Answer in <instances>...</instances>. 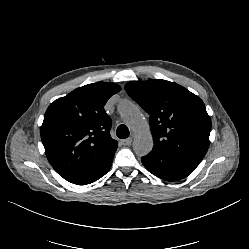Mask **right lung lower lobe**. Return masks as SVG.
I'll use <instances>...</instances> for the list:
<instances>
[{
  "instance_id": "right-lung-lower-lobe-1",
  "label": "right lung lower lobe",
  "mask_w": 249,
  "mask_h": 249,
  "mask_svg": "<svg viewBox=\"0 0 249 249\" xmlns=\"http://www.w3.org/2000/svg\"><path fill=\"white\" fill-rule=\"evenodd\" d=\"M114 154L115 152L110 154L102 163H100L97 167H95L92 171H90L86 175L71 182L78 185H85L98 180L109 171L112 165Z\"/></svg>"
}]
</instances>
